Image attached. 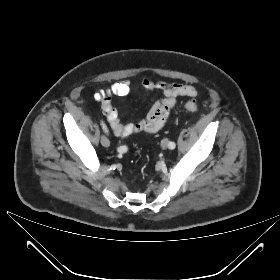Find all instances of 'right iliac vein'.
Masks as SVG:
<instances>
[{
  "label": "right iliac vein",
  "instance_id": "right-iliac-vein-1",
  "mask_svg": "<svg viewBox=\"0 0 280 280\" xmlns=\"http://www.w3.org/2000/svg\"><path fill=\"white\" fill-rule=\"evenodd\" d=\"M100 141H101L102 146H104V147L110 146V141L106 136H102Z\"/></svg>",
  "mask_w": 280,
  "mask_h": 280
}]
</instances>
